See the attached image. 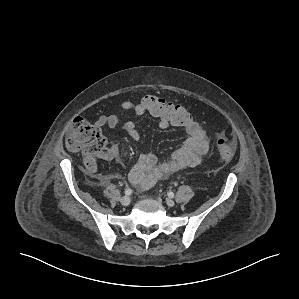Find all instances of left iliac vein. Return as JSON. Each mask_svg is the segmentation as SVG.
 Returning a JSON list of instances; mask_svg holds the SVG:
<instances>
[{
    "instance_id": "left-iliac-vein-1",
    "label": "left iliac vein",
    "mask_w": 299,
    "mask_h": 299,
    "mask_svg": "<svg viewBox=\"0 0 299 299\" xmlns=\"http://www.w3.org/2000/svg\"><path fill=\"white\" fill-rule=\"evenodd\" d=\"M166 203L168 206L173 207L175 205L174 200H172L171 198H167L166 199Z\"/></svg>"
}]
</instances>
